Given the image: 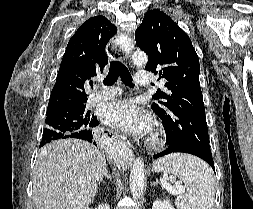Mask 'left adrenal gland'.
<instances>
[{"label": "left adrenal gland", "mask_w": 253, "mask_h": 209, "mask_svg": "<svg viewBox=\"0 0 253 209\" xmlns=\"http://www.w3.org/2000/svg\"><path fill=\"white\" fill-rule=\"evenodd\" d=\"M157 184H159L158 180H156V182L152 183L151 186H156Z\"/></svg>", "instance_id": "obj_1"}]
</instances>
